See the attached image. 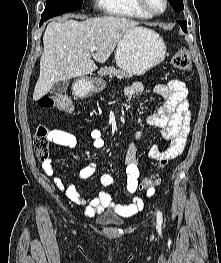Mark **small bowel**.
Instances as JSON below:
<instances>
[{
  "instance_id": "small-bowel-1",
  "label": "small bowel",
  "mask_w": 221,
  "mask_h": 263,
  "mask_svg": "<svg viewBox=\"0 0 221 263\" xmlns=\"http://www.w3.org/2000/svg\"><path fill=\"white\" fill-rule=\"evenodd\" d=\"M153 90L163 98V102L158 111L148 117L147 122L150 125L161 128L162 136L170 141V145L165 150H161L157 145H152L148 150V156L156 160L173 159L183 152L190 131L188 90L185 84L179 80H171L166 84H157ZM143 91L144 85L141 82H134L126 87L124 93L127 97H133L141 94ZM140 135L138 133L136 138L140 137ZM47 138L59 146L70 149L77 147L76 136L65 130L54 129L48 133ZM90 138L95 149H101L105 146V140L100 130H91ZM42 168L46 175L53 178L55 186L64 192L71 202L85 207V213L89 217H93L107 209L113 210L120 216H131L143 207L144 200L138 196H133L125 204L114 202L111 195L105 191H100L95 197H85L78 192L74 185H66L63 182L56 173L51 160H43ZM95 171L96 166L88 164L80 170L78 176L81 179H86L91 177ZM125 171V190L128 194L133 195L137 190L139 178L136 150L133 144H130L127 148ZM101 182L104 185H110L113 179L111 175L105 173L101 176ZM152 194L153 189H149L146 193L148 197Z\"/></svg>"
}]
</instances>
